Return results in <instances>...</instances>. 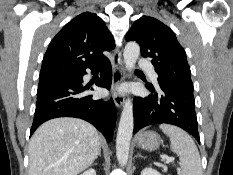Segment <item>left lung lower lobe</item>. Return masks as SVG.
Here are the masks:
<instances>
[{"instance_id":"left-lung-lower-lobe-1","label":"left lung lower lobe","mask_w":233,"mask_h":175,"mask_svg":"<svg viewBox=\"0 0 233 175\" xmlns=\"http://www.w3.org/2000/svg\"><path fill=\"white\" fill-rule=\"evenodd\" d=\"M149 96L134 98V130L160 123L179 126L199 143L193 88L177 84H159L157 90L147 84Z\"/></svg>"}]
</instances>
